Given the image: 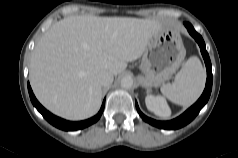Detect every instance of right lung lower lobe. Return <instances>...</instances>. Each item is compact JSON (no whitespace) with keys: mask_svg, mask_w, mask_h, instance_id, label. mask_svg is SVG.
Listing matches in <instances>:
<instances>
[{"mask_svg":"<svg viewBox=\"0 0 238 158\" xmlns=\"http://www.w3.org/2000/svg\"><path fill=\"white\" fill-rule=\"evenodd\" d=\"M28 91H29V95H30V99H31L32 104L43 115V117L49 123L54 125L55 127L59 128V129H62V130H65V131H72V130L82 129V128H85V127L95 123L101 117L102 112L104 110L105 101L103 102L102 107H101L100 111L98 112V114L95 115L94 117H92L88 120L80 121V122H71V121L61 119V118L51 114L49 111H47L35 98L29 83H28Z\"/></svg>","mask_w":238,"mask_h":158,"instance_id":"obj_1","label":"right lung lower lobe"}]
</instances>
